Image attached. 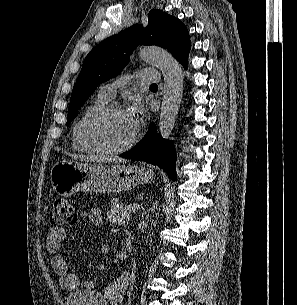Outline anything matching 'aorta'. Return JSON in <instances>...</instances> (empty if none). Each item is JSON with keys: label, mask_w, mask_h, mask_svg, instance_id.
<instances>
[{"label": "aorta", "mask_w": 297, "mask_h": 305, "mask_svg": "<svg viewBox=\"0 0 297 305\" xmlns=\"http://www.w3.org/2000/svg\"><path fill=\"white\" fill-rule=\"evenodd\" d=\"M139 57L158 67L164 77V91L159 118V132L163 138L171 136L183 95L184 75L181 66L171 54L157 47H143Z\"/></svg>", "instance_id": "762f6f07"}]
</instances>
